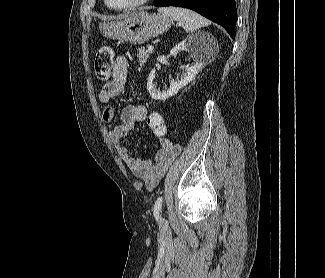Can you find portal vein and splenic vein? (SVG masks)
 Segmentation results:
<instances>
[{"label": "portal vein and splenic vein", "mask_w": 325, "mask_h": 278, "mask_svg": "<svg viewBox=\"0 0 325 278\" xmlns=\"http://www.w3.org/2000/svg\"><path fill=\"white\" fill-rule=\"evenodd\" d=\"M154 49V46L153 45H149L148 46V50L152 51Z\"/></svg>", "instance_id": "obj_1"}]
</instances>
